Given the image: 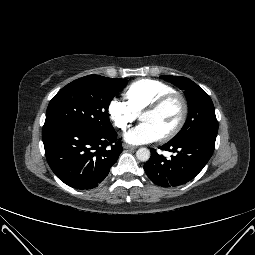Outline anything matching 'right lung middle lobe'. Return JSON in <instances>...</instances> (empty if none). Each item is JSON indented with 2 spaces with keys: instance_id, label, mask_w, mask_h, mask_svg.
Returning a JSON list of instances; mask_svg holds the SVG:
<instances>
[{
  "instance_id": "obj_1",
  "label": "right lung middle lobe",
  "mask_w": 255,
  "mask_h": 255,
  "mask_svg": "<svg viewBox=\"0 0 255 255\" xmlns=\"http://www.w3.org/2000/svg\"><path fill=\"white\" fill-rule=\"evenodd\" d=\"M125 79L88 75L72 81L50 101L44 127L78 125L96 133L113 129L108 115L112 98Z\"/></svg>"
}]
</instances>
